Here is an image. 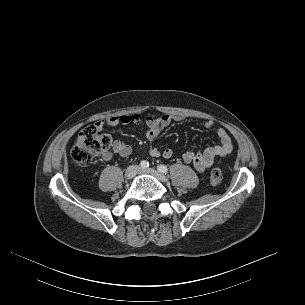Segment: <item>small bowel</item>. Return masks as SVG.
Listing matches in <instances>:
<instances>
[{
	"instance_id": "obj_1",
	"label": "small bowel",
	"mask_w": 305,
	"mask_h": 305,
	"mask_svg": "<svg viewBox=\"0 0 305 305\" xmlns=\"http://www.w3.org/2000/svg\"><path fill=\"white\" fill-rule=\"evenodd\" d=\"M183 117L170 114H163L161 116H142L139 113L124 114L120 117H109L103 120H99L95 123L98 129H102L105 126H114L117 124H144L146 126V136L150 143L159 140L165 128L170 126L173 122L181 121ZM213 120H206L204 127L206 129L214 128ZM215 134L219 139V143L209 146L202 151L189 150L182 155V159L185 163L192 164L194 168L202 173L212 167L217 157H223L232 152L233 145L230 135L223 127H217ZM148 152L152 157H164L170 159L174 155V151L171 148H166L163 151L153 146H149ZM113 153L126 158L131 155L132 148L129 144L122 140H115L112 144V151L103 152L101 157L103 160L108 161L112 158Z\"/></svg>"
}]
</instances>
